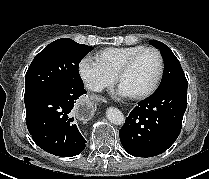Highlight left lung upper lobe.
<instances>
[{
  "label": "left lung upper lobe",
  "mask_w": 209,
  "mask_h": 179,
  "mask_svg": "<svg viewBox=\"0 0 209 179\" xmlns=\"http://www.w3.org/2000/svg\"><path fill=\"white\" fill-rule=\"evenodd\" d=\"M150 44L160 50L165 63L163 78L156 91H161L175 84L187 83L183 69L170 48L157 40H150Z\"/></svg>",
  "instance_id": "obj_1"
}]
</instances>
